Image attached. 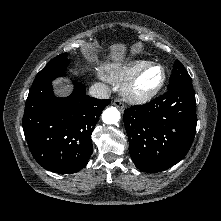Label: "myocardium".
I'll return each instance as SVG.
<instances>
[{
  "label": "myocardium",
  "mask_w": 221,
  "mask_h": 221,
  "mask_svg": "<svg viewBox=\"0 0 221 221\" xmlns=\"http://www.w3.org/2000/svg\"><path fill=\"white\" fill-rule=\"evenodd\" d=\"M152 68H159L161 71L160 81L152 87H144L141 85V81L146 74ZM167 75L165 68L158 63H149L142 69L137 71L129 81L126 82L124 87V97L126 100L136 103L147 102L152 100L161 91L166 83Z\"/></svg>",
  "instance_id": "f54148a6"
}]
</instances>
